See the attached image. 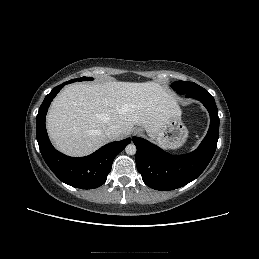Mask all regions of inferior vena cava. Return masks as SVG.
Here are the masks:
<instances>
[{
	"label": "inferior vena cava",
	"instance_id": "1",
	"mask_svg": "<svg viewBox=\"0 0 259 259\" xmlns=\"http://www.w3.org/2000/svg\"><path fill=\"white\" fill-rule=\"evenodd\" d=\"M121 132L122 130L119 125H111L105 130V135L109 140L112 141L118 139Z\"/></svg>",
	"mask_w": 259,
	"mask_h": 259
}]
</instances>
